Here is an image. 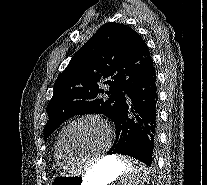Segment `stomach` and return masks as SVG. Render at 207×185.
Masks as SVG:
<instances>
[{
	"label": "stomach",
	"mask_w": 207,
	"mask_h": 185,
	"mask_svg": "<svg viewBox=\"0 0 207 185\" xmlns=\"http://www.w3.org/2000/svg\"><path fill=\"white\" fill-rule=\"evenodd\" d=\"M124 169L119 156H105L87 172L56 176L51 185H108L121 177Z\"/></svg>",
	"instance_id": "1"
}]
</instances>
